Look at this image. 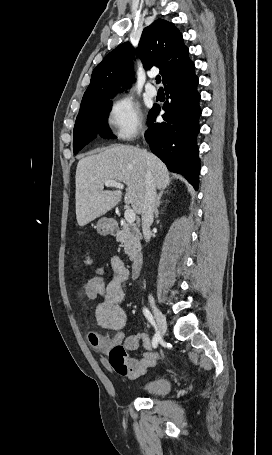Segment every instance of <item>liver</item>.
<instances>
[{
    "mask_svg": "<svg viewBox=\"0 0 272 455\" xmlns=\"http://www.w3.org/2000/svg\"><path fill=\"white\" fill-rule=\"evenodd\" d=\"M148 170L152 173L157 189L164 190L169 186V173L165 164L145 149L130 145H112L80 159L75 177L78 225L85 226L120 202L122 197L120 190L104 191V183L107 180L127 185L125 204H131L134 211L140 214Z\"/></svg>",
    "mask_w": 272,
    "mask_h": 455,
    "instance_id": "1",
    "label": "liver"
}]
</instances>
